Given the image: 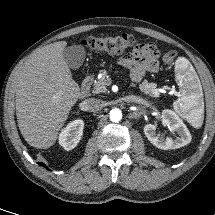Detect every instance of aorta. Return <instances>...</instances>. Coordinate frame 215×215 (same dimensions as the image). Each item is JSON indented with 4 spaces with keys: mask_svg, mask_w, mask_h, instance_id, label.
<instances>
[{
    "mask_svg": "<svg viewBox=\"0 0 215 215\" xmlns=\"http://www.w3.org/2000/svg\"><path fill=\"white\" fill-rule=\"evenodd\" d=\"M122 118V113L119 109H113L110 112V119L113 122H119Z\"/></svg>",
    "mask_w": 215,
    "mask_h": 215,
    "instance_id": "1",
    "label": "aorta"
}]
</instances>
